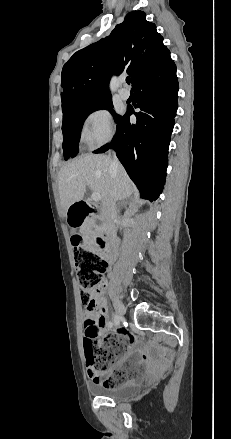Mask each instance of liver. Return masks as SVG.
I'll return each instance as SVG.
<instances>
[{"instance_id":"obj_1","label":"liver","mask_w":231,"mask_h":439,"mask_svg":"<svg viewBox=\"0 0 231 439\" xmlns=\"http://www.w3.org/2000/svg\"><path fill=\"white\" fill-rule=\"evenodd\" d=\"M112 159L106 155H83L63 166L58 175L59 194L64 214L83 199L86 186L101 196L102 204L110 197L115 201L129 197L136 188L125 169H111Z\"/></svg>"}]
</instances>
